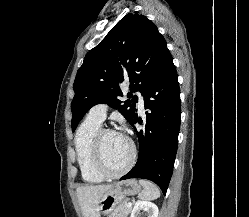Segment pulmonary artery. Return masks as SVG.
I'll list each match as a JSON object with an SVG mask.
<instances>
[{
    "label": "pulmonary artery",
    "mask_w": 249,
    "mask_h": 217,
    "mask_svg": "<svg viewBox=\"0 0 249 217\" xmlns=\"http://www.w3.org/2000/svg\"><path fill=\"white\" fill-rule=\"evenodd\" d=\"M138 96V107L142 111L144 107V100L140 93H138ZM107 109L108 107L106 104H97L90 109L88 116L103 122L106 118Z\"/></svg>",
    "instance_id": "pulmonary-artery-1"
}]
</instances>
